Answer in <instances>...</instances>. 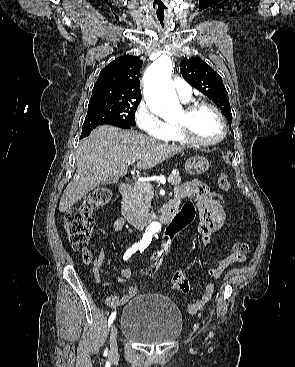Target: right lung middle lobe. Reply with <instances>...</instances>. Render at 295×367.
<instances>
[{
	"instance_id": "obj_1",
	"label": "right lung middle lobe",
	"mask_w": 295,
	"mask_h": 367,
	"mask_svg": "<svg viewBox=\"0 0 295 367\" xmlns=\"http://www.w3.org/2000/svg\"><path fill=\"white\" fill-rule=\"evenodd\" d=\"M139 102L140 99L92 94L81 135L102 124L135 125V112Z\"/></svg>"
}]
</instances>
